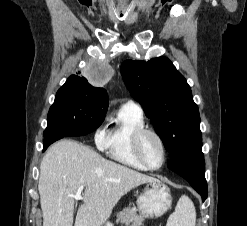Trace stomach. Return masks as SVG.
<instances>
[{
  "label": "stomach",
  "instance_id": "1",
  "mask_svg": "<svg viewBox=\"0 0 247 226\" xmlns=\"http://www.w3.org/2000/svg\"><path fill=\"white\" fill-rule=\"evenodd\" d=\"M171 205L172 197L169 187L157 179L148 182L137 199V208L143 218L161 217L171 208ZM139 223L134 222L132 226H137Z\"/></svg>",
  "mask_w": 247,
  "mask_h": 226
}]
</instances>
